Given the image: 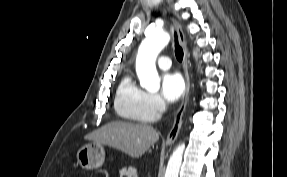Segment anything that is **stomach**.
<instances>
[{
	"label": "stomach",
	"instance_id": "stomach-1",
	"mask_svg": "<svg viewBox=\"0 0 287 177\" xmlns=\"http://www.w3.org/2000/svg\"><path fill=\"white\" fill-rule=\"evenodd\" d=\"M77 163L84 170H92L103 165L105 151L102 144L89 143L81 146L78 150Z\"/></svg>",
	"mask_w": 287,
	"mask_h": 177
}]
</instances>
